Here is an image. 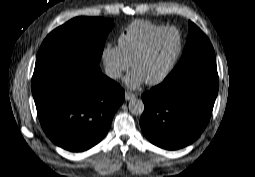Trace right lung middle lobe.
I'll use <instances>...</instances> for the list:
<instances>
[{"instance_id":"1","label":"right lung middle lobe","mask_w":255,"mask_h":177,"mask_svg":"<svg viewBox=\"0 0 255 177\" xmlns=\"http://www.w3.org/2000/svg\"><path fill=\"white\" fill-rule=\"evenodd\" d=\"M112 19L76 17L53 30L43 41L36 65L54 60H71L99 66L104 43L113 28Z\"/></svg>"}]
</instances>
